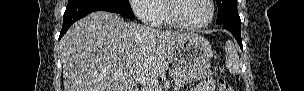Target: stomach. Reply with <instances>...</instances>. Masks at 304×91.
<instances>
[{
  "mask_svg": "<svg viewBox=\"0 0 304 91\" xmlns=\"http://www.w3.org/2000/svg\"><path fill=\"white\" fill-rule=\"evenodd\" d=\"M178 63L190 67H204L213 57L210 43L201 36L191 37L181 43L174 51Z\"/></svg>",
  "mask_w": 304,
  "mask_h": 91,
  "instance_id": "1",
  "label": "stomach"
}]
</instances>
